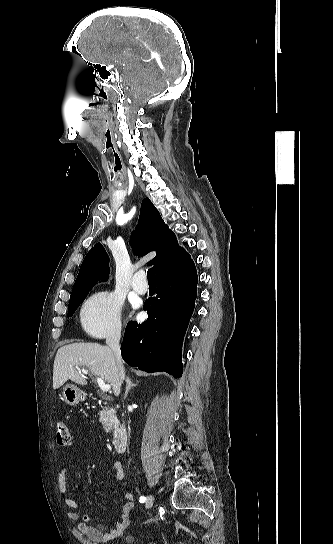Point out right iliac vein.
Masks as SVG:
<instances>
[{
    "label": "right iliac vein",
    "mask_w": 333,
    "mask_h": 544,
    "mask_svg": "<svg viewBox=\"0 0 333 544\" xmlns=\"http://www.w3.org/2000/svg\"><path fill=\"white\" fill-rule=\"evenodd\" d=\"M153 501H154V497L152 494H149L147 496V500H146V504H145V508L146 509H150L153 505Z\"/></svg>",
    "instance_id": "1"
}]
</instances>
